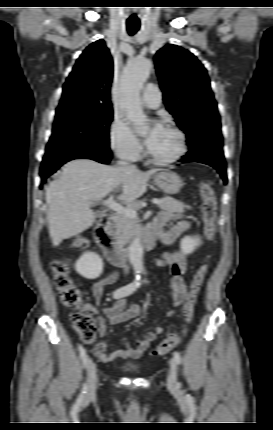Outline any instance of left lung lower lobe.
Segmentation results:
<instances>
[{
  "instance_id": "0a47b994",
  "label": "left lung lower lobe",
  "mask_w": 273,
  "mask_h": 430,
  "mask_svg": "<svg viewBox=\"0 0 273 430\" xmlns=\"http://www.w3.org/2000/svg\"><path fill=\"white\" fill-rule=\"evenodd\" d=\"M189 152L180 159V162H200L217 169L224 183H227L226 165L222 152V136L203 131L194 142H187Z\"/></svg>"
}]
</instances>
